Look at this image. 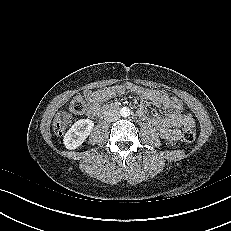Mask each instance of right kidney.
Here are the masks:
<instances>
[{
	"instance_id": "1",
	"label": "right kidney",
	"mask_w": 231,
	"mask_h": 231,
	"mask_svg": "<svg viewBox=\"0 0 231 231\" xmlns=\"http://www.w3.org/2000/svg\"><path fill=\"white\" fill-rule=\"evenodd\" d=\"M94 123L90 119H80L64 135L63 143L69 150H73L82 145L85 139L90 135Z\"/></svg>"
}]
</instances>
